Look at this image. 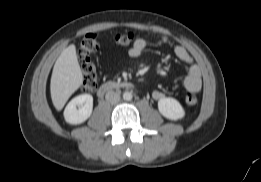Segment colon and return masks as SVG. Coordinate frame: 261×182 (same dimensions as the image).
<instances>
[{
    "instance_id": "1",
    "label": "colon",
    "mask_w": 261,
    "mask_h": 182,
    "mask_svg": "<svg viewBox=\"0 0 261 182\" xmlns=\"http://www.w3.org/2000/svg\"><path fill=\"white\" fill-rule=\"evenodd\" d=\"M134 40L132 33L118 34L115 36V42L121 46H128ZM99 44L97 35L95 33H87L82 38L77 56L79 66L83 72V88L87 91L94 90L98 85V73L96 65L92 59V55L98 50ZM185 102L188 105H195L198 102V98L195 93L189 92L185 97Z\"/></svg>"
}]
</instances>
